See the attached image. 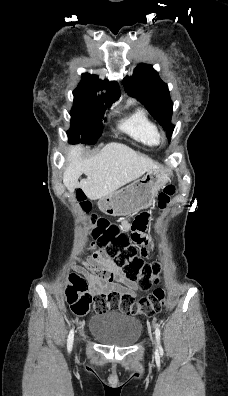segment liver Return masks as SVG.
<instances>
[{"label": "liver", "mask_w": 228, "mask_h": 396, "mask_svg": "<svg viewBox=\"0 0 228 396\" xmlns=\"http://www.w3.org/2000/svg\"><path fill=\"white\" fill-rule=\"evenodd\" d=\"M83 152L81 145L70 147L63 183L70 192L81 188L91 200L116 191L148 171L160 169L152 159L121 143L107 144L90 158H83ZM82 174L87 177L79 182Z\"/></svg>", "instance_id": "1"}]
</instances>
